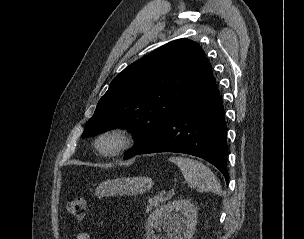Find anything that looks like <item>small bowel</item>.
Here are the masks:
<instances>
[{"label": "small bowel", "instance_id": "1", "mask_svg": "<svg viewBox=\"0 0 304 239\" xmlns=\"http://www.w3.org/2000/svg\"><path fill=\"white\" fill-rule=\"evenodd\" d=\"M75 239H90V235L87 232H80L76 235Z\"/></svg>", "mask_w": 304, "mask_h": 239}]
</instances>
